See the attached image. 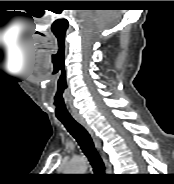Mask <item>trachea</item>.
Returning <instances> with one entry per match:
<instances>
[{"instance_id":"trachea-1","label":"trachea","mask_w":174,"mask_h":184,"mask_svg":"<svg viewBox=\"0 0 174 184\" xmlns=\"http://www.w3.org/2000/svg\"><path fill=\"white\" fill-rule=\"evenodd\" d=\"M68 132L76 139L82 151L87 156L93 170L97 174H104L105 166L94 147V143L88 131L73 118H60L59 119Z\"/></svg>"}]
</instances>
